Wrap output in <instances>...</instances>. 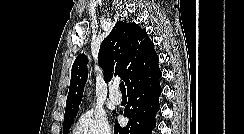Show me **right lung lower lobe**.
Wrapping results in <instances>:
<instances>
[{
	"instance_id": "1",
	"label": "right lung lower lobe",
	"mask_w": 244,
	"mask_h": 134,
	"mask_svg": "<svg viewBox=\"0 0 244 134\" xmlns=\"http://www.w3.org/2000/svg\"><path fill=\"white\" fill-rule=\"evenodd\" d=\"M161 74L128 90V104L124 114L129 118L126 127L115 123L114 134H152L155 115L160 109Z\"/></svg>"
}]
</instances>
